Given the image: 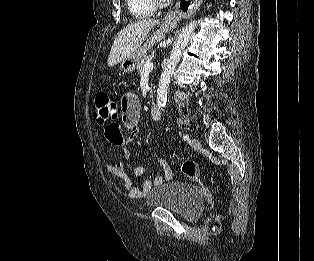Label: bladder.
I'll return each mask as SVG.
<instances>
[{"instance_id":"obj_1","label":"bladder","mask_w":314,"mask_h":261,"mask_svg":"<svg viewBox=\"0 0 314 261\" xmlns=\"http://www.w3.org/2000/svg\"><path fill=\"white\" fill-rule=\"evenodd\" d=\"M147 205L170 210L181 218L192 221L200 215L204 198L194 185L171 181L153 188L147 195Z\"/></svg>"}]
</instances>
